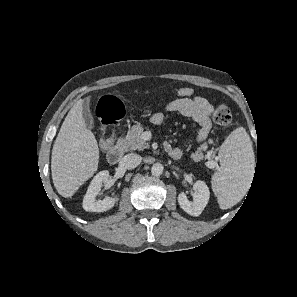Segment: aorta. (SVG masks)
Segmentation results:
<instances>
[{
    "mask_svg": "<svg viewBox=\"0 0 297 297\" xmlns=\"http://www.w3.org/2000/svg\"><path fill=\"white\" fill-rule=\"evenodd\" d=\"M164 167L161 163H155L151 167V173L154 176H160L163 173Z\"/></svg>",
    "mask_w": 297,
    "mask_h": 297,
    "instance_id": "762f6f07",
    "label": "aorta"
}]
</instances>
